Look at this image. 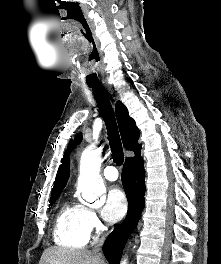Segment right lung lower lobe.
Returning a JSON list of instances; mask_svg holds the SVG:
<instances>
[{
  "instance_id": "1",
  "label": "right lung lower lobe",
  "mask_w": 221,
  "mask_h": 264,
  "mask_svg": "<svg viewBox=\"0 0 221 264\" xmlns=\"http://www.w3.org/2000/svg\"><path fill=\"white\" fill-rule=\"evenodd\" d=\"M121 179L128 199V212L123 223L116 227L103 245V252L109 264H119L126 241L137 226L143 210L145 182L141 157H138V160H125Z\"/></svg>"
}]
</instances>
